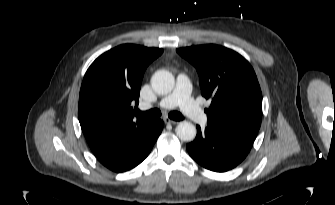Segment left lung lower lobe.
<instances>
[{
    "mask_svg": "<svg viewBox=\"0 0 335 205\" xmlns=\"http://www.w3.org/2000/svg\"><path fill=\"white\" fill-rule=\"evenodd\" d=\"M197 127L195 140L187 144L190 156L201 166L215 172H225L241 163L249 153L252 140L207 126Z\"/></svg>",
    "mask_w": 335,
    "mask_h": 205,
    "instance_id": "left-lung-lower-lobe-1",
    "label": "left lung lower lobe"
}]
</instances>
